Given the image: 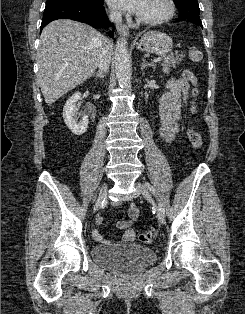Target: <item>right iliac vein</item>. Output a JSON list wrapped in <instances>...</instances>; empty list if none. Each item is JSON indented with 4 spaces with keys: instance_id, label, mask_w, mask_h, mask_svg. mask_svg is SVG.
Segmentation results:
<instances>
[{
    "instance_id": "obj_1",
    "label": "right iliac vein",
    "mask_w": 245,
    "mask_h": 314,
    "mask_svg": "<svg viewBox=\"0 0 245 314\" xmlns=\"http://www.w3.org/2000/svg\"><path fill=\"white\" fill-rule=\"evenodd\" d=\"M106 196H107V184L105 183L102 186L99 196L95 202V206H94L95 209H97L101 205L102 201L106 198Z\"/></svg>"
}]
</instances>
